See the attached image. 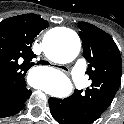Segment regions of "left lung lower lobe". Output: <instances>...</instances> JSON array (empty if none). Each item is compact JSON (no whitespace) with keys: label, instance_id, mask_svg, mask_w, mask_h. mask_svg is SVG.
Returning <instances> with one entry per match:
<instances>
[{"label":"left lung lower lobe","instance_id":"left-lung-lower-lobe-1","mask_svg":"<svg viewBox=\"0 0 124 124\" xmlns=\"http://www.w3.org/2000/svg\"><path fill=\"white\" fill-rule=\"evenodd\" d=\"M50 113L59 124H82L74 109L71 96L64 99L49 98Z\"/></svg>","mask_w":124,"mask_h":124}]
</instances>
